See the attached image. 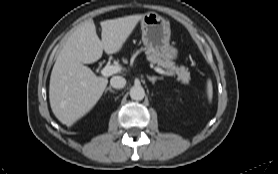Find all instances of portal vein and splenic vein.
I'll return each instance as SVG.
<instances>
[{
    "label": "portal vein and splenic vein",
    "instance_id": "obj_1",
    "mask_svg": "<svg viewBox=\"0 0 278 174\" xmlns=\"http://www.w3.org/2000/svg\"><path fill=\"white\" fill-rule=\"evenodd\" d=\"M121 71V67L120 66H116V65H107L105 66L102 70H101V74L105 77H108V76H111L115 73H118ZM155 71L158 72L159 74H162V75H166V76H169L170 74L159 68V67H156L155 68Z\"/></svg>",
    "mask_w": 278,
    "mask_h": 174
}]
</instances>
